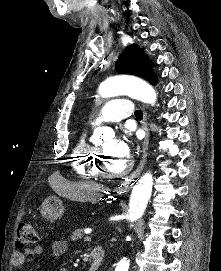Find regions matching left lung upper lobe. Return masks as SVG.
Wrapping results in <instances>:
<instances>
[{
	"label": "left lung upper lobe",
	"instance_id": "1",
	"mask_svg": "<svg viewBox=\"0 0 221 271\" xmlns=\"http://www.w3.org/2000/svg\"><path fill=\"white\" fill-rule=\"evenodd\" d=\"M121 74H131L146 79L152 85L157 83L153 65L145 52L136 44L128 46L116 62Z\"/></svg>",
	"mask_w": 221,
	"mask_h": 271
}]
</instances>
